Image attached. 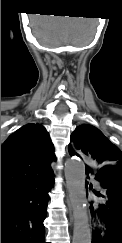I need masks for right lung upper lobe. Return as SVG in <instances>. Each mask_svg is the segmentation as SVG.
<instances>
[{
  "mask_svg": "<svg viewBox=\"0 0 122 243\" xmlns=\"http://www.w3.org/2000/svg\"><path fill=\"white\" fill-rule=\"evenodd\" d=\"M54 146L44 126L27 124L1 147V193L53 172Z\"/></svg>",
  "mask_w": 122,
  "mask_h": 243,
  "instance_id": "1",
  "label": "right lung upper lobe"
}]
</instances>
